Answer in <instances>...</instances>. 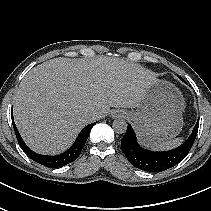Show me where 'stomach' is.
Here are the masks:
<instances>
[{
	"mask_svg": "<svg viewBox=\"0 0 211 211\" xmlns=\"http://www.w3.org/2000/svg\"><path fill=\"white\" fill-rule=\"evenodd\" d=\"M183 108L184 98L179 89L168 81L156 80L137 109L127 113V118L141 142L153 146L181 132Z\"/></svg>",
	"mask_w": 211,
	"mask_h": 211,
	"instance_id": "1",
	"label": "stomach"
}]
</instances>
